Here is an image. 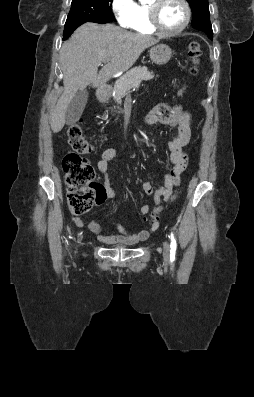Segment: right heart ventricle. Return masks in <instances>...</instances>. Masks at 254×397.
<instances>
[{
    "label": "right heart ventricle",
    "mask_w": 254,
    "mask_h": 397,
    "mask_svg": "<svg viewBox=\"0 0 254 397\" xmlns=\"http://www.w3.org/2000/svg\"><path fill=\"white\" fill-rule=\"evenodd\" d=\"M130 28L139 34L152 35L155 33L149 22L148 5L136 4L135 18Z\"/></svg>",
    "instance_id": "e07e8e85"
}]
</instances>
